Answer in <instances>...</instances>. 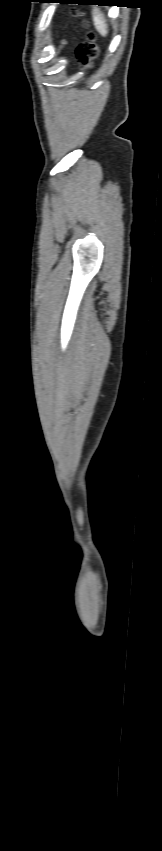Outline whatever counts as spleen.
Masks as SVG:
<instances>
[{
	"instance_id": "spleen-1",
	"label": "spleen",
	"mask_w": 162,
	"mask_h": 851,
	"mask_svg": "<svg viewBox=\"0 0 162 851\" xmlns=\"http://www.w3.org/2000/svg\"><path fill=\"white\" fill-rule=\"evenodd\" d=\"M93 22L97 31L102 35L106 36L108 34V26L106 24V19L104 14L98 9L94 8L92 11Z\"/></svg>"
}]
</instances>
